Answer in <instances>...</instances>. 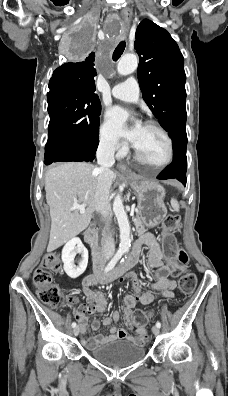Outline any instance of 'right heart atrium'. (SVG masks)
<instances>
[{
  "mask_svg": "<svg viewBox=\"0 0 228 396\" xmlns=\"http://www.w3.org/2000/svg\"><path fill=\"white\" fill-rule=\"evenodd\" d=\"M98 137L100 145L108 152L114 154H123L126 151V146L113 133L111 127L103 122L98 130Z\"/></svg>",
  "mask_w": 228,
  "mask_h": 396,
  "instance_id": "1",
  "label": "right heart atrium"
}]
</instances>
